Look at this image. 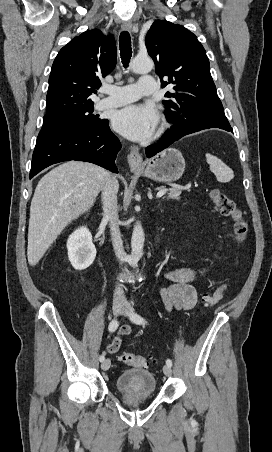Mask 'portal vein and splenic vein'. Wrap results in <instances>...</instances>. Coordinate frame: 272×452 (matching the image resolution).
<instances>
[{
	"mask_svg": "<svg viewBox=\"0 0 272 452\" xmlns=\"http://www.w3.org/2000/svg\"><path fill=\"white\" fill-rule=\"evenodd\" d=\"M166 192H167V189H162V190H160V191L157 193L156 197H157V198H160V197H162L164 194H166Z\"/></svg>",
	"mask_w": 272,
	"mask_h": 452,
	"instance_id": "18ae733b",
	"label": "portal vein and splenic vein"
}]
</instances>
